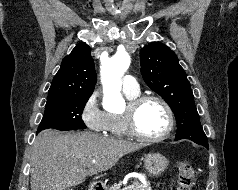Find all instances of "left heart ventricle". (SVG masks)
Masks as SVG:
<instances>
[{
  "mask_svg": "<svg viewBox=\"0 0 238 190\" xmlns=\"http://www.w3.org/2000/svg\"><path fill=\"white\" fill-rule=\"evenodd\" d=\"M168 116L164 108L155 101L144 103L137 114V125L146 135L158 136L168 127Z\"/></svg>",
  "mask_w": 238,
  "mask_h": 190,
  "instance_id": "1",
  "label": "left heart ventricle"
}]
</instances>
